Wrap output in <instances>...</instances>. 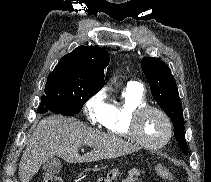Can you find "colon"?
Returning a JSON list of instances; mask_svg holds the SVG:
<instances>
[{
    "mask_svg": "<svg viewBox=\"0 0 211 182\" xmlns=\"http://www.w3.org/2000/svg\"><path fill=\"white\" fill-rule=\"evenodd\" d=\"M155 171L163 179L169 180L172 178L171 173L163 166H160V165L156 166ZM117 176H118V171L113 169V170H110L106 175L97 178L95 182H113ZM137 176H138V171L133 170L131 171L129 177L125 179L124 182H133V179L136 178ZM43 182H63V181L61 177L57 174L45 173L43 175Z\"/></svg>",
    "mask_w": 211,
    "mask_h": 182,
    "instance_id": "5ec220e1",
    "label": "colon"
}]
</instances>
